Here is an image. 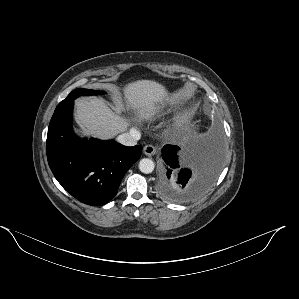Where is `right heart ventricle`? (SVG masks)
Masks as SVG:
<instances>
[{"label": "right heart ventricle", "instance_id": "1", "mask_svg": "<svg viewBox=\"0 0 299 299\" xmlns=\"http://www.w3.org/2000/svg\"><path fill=\"white\" fill-rule=\"evenodd\" d=\"M165 109L163 104H158L150 108L149 113L152 115L160 114Z\"/></svg>", "mask_w": 299, "mask_h": 299}]
</instances>
